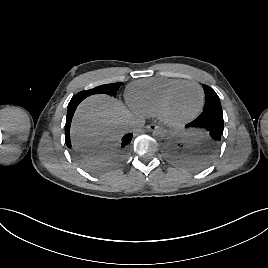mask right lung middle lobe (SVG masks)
I'll list each match as a JSON object with an SVG mask.
<instances>
[{"label": "right lung middle lobe", "mask_w": 268, "mask_h": 268, "mask_svg": "<svg viewBox=\"0 0 268 268\" xmlns=\"http://www.w3.org/2000/svg\"><path fill=\"white\" fill-rule=\"evenodd\" d=\"M120 85H121V82L100 85V86H97L93 89L79 92L78 94L74 95L72 97V99L73 100H76V99L83 100L86 97H88L90 95H94V94H107V95L116 97V93H117V90L120 87Z\"/></svg>", "instance_id": "1"}]
</instances>
